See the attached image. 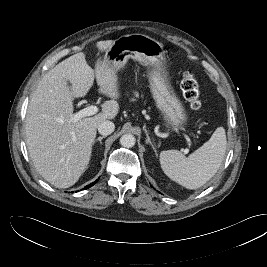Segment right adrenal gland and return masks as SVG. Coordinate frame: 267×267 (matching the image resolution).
Wrapping results in <instances>:
<instances>
[{
	"instance_id": "1",
	"label": "right adrenal gland",
	"mask_w": 267,
	"mask_h": 267,
	"mask_svg": "<svg viewBox=\"0 0 267 267\" xmlns=\"http://www.w3.org/2000/svg\"><path fill=\"white\" fill-rule=\"evenodd\" d=\"M106 138V136H99L94 143H96L97 141H99L100 145H102V139Z\"/></svg>"
}]
</instances>
